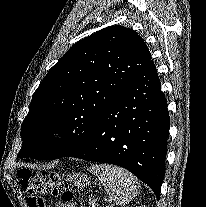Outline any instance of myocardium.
<instances>
[{
  "label": "myocardium",
  "mask_w": 206,
  "mask_h": 207,
  "mask_svg": "<svg viewBox=\"0 0 206 207\" xmlns=\"http://www.w3.org/2000/svg\"><path fill=\"white\" fill-rule=\"evenodd\" d=\"M62 135H63V131L60 128L53 127L46 130L43 133L41 139L46 143H51L60 139Z\"/></svg>",
  "instance_id": "f54148a6"
}]
</instances>
